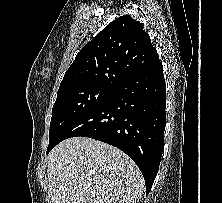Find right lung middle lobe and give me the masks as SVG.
<instances>
[{"label": "right lung middle lobe", "mask_w": 222, "mask_h": 203, "mask_svg": "<svg viewBox=\"0 0 222 203\" xmlns=\"http://www.w3.org/2000/svg\"><path fill=\"white\" fill-rule=\"evenodd\" d=\"M111 89L90 85L58 90L52 109L48 148L68 126L101 104L108 97Z\"/></svg>", "instance_id": "1"}]
</instances>
